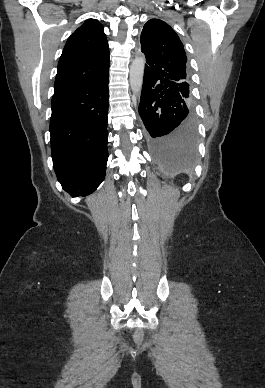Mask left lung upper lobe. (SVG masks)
Here are the masks:
<instances>
[{
  "label": "left lung upper lobe",
  "mask_w": 265,
  "mask_h": 388,
  "mask_svg": "<svg viewBox=\"0 0 265 388\" xmlns=\"http://www.w3.org/2000/svg\"><path fill=\"white\" fill-rule=\"evenodd\" d=\"M141 51L145 54V69L181 84L188 105L193 104L186 69L187 57L175 31L164 21L149 20L141 33Z\"/></svg>",
  "instance_id": "left-lung-upper-lobe-1"
}]
</instances>
